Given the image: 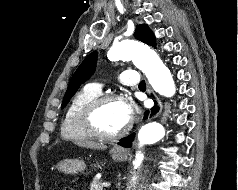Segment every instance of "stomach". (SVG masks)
Instances as JSON below:
<instances>
[{
	"label": "stomach",
	"mask_w": 238,
	"mask_h": 190,
	"mask_svg": "<svg viewBox=\"0 0 238 190\" xmlns=\"http://www.w3.org/2000/svg\"><path fill=\"white\" fill-rule=\"evenodd\" d=\"M112 159L115 161H123L127 158V153L122 148H113L111 151ZM56 168L66 174H76L78 172H82L86 168V164L82 160L78 159H65L60 161Z\"/></svg>",
	"instance_id": "0dacf381"
}]
</instances>
